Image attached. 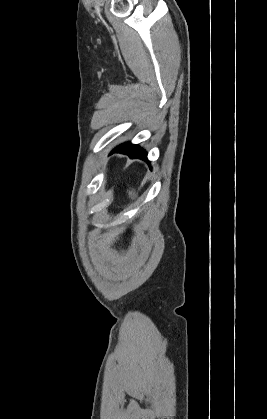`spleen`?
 I'll list each match as a JSON object with an SVG mask.
<instances>
[{
    "label": "spleen",
    "instance_id": "3e777b00",
    "mask_svg": "<svg viewBox=\"0 0 267 419\" xmlns=\"http://www.w3.org/2000/svg\"><path fill=\"white\" fill-rule=\"evenodd\" d=\"M134 195L133 191H129V197H132Z\"/></svg>",
    "mask_w": 267,
    "mask_h": 419
}]
</instances>
